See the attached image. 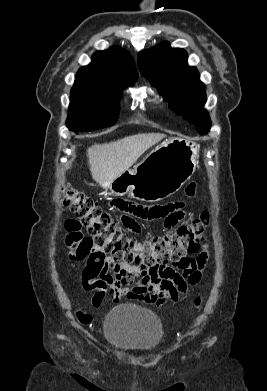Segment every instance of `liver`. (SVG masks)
<instances>
[{"instance_id":"liver-1","label":"liver","mask_w":267,"mask_h":391,"mask_svg":"<svg viewBox=\"0 0 267 391\" xmlns=\"http://www.w3.org/2000/svg\"><path fill=\"white\" fill-rule=\"evenodd\" d=\"M165 137V134L160 133H142L91 146L87 150V156L93 180L102 188H109L113 180Z\"/></svg>"}]
</instances>
